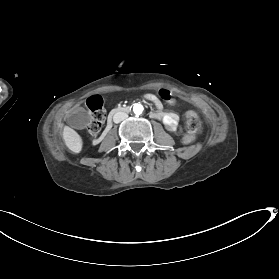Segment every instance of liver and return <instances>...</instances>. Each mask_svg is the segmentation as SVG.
I'll list each match as a JSON object with an SVG mask.
<instances>
[{"instance_id":"6515ba94","label":"liver","mask_w":279,"mask_h":279,"mask_svg":"<svg viewBox=\"0 0 279 279\" xmlns=\"http://www.w3.org/2000/svg\"><path fill=\"white\" fill-rule=\"evenodd\" d=\"M63 139L66 146L72 152L79 153L82 150V139L80 135L69 126H65L63 129Z\"/></svg>"}]
</instances>
